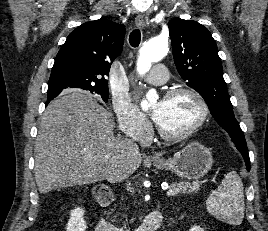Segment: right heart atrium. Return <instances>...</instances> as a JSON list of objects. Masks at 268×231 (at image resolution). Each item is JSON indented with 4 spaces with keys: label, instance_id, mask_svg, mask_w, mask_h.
<instances>
[{
    "label": "right heart atrium",
    "instance_id": "obj_1",
    "mask_svg": "<svg viewBox=\"0 0 268 231\" xmlns=\"http://www.w3.org/2000/svg\"><path fill=\"white\" fill-rule=\"evenodd\" d=\"M119 130L125 136L143 142L151 132V124L128 97L117 98L113 102Z\"/></svg>",
    "mask_w": 268,
    "mask_h": 231
}]
</instances>
